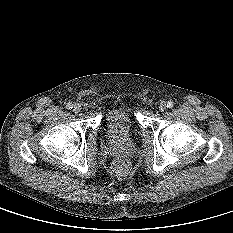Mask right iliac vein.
<instances>
[{
  "instance_id": "1",
  "label": "right iliac vein",
  "mask_w": 233,
  "mask_h": 233,
  "mask_svg": "<svg viewBox=\"0 0 233 233\" xmlns=\"http://www.w3.org/2000/svg\"><path fill=\"white\" fill-rule=\"evenodd\" d=\"M81 105L80 104H74L73 105V111L75 112V113H79L80 111H81Z\"/></svg>"
}]
</instances>
